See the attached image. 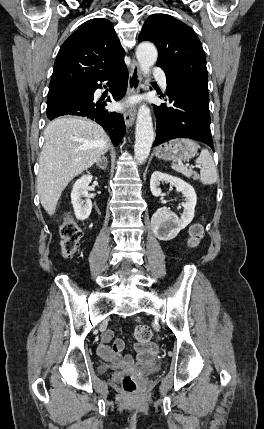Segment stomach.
<instances>
[{
    "instance_id": "1",
    "label": "stomach",
    "mask_w": 264,
    "mask_h": 429,
    "mask_svg": "<svg viewBox=\"0 0 264 429\" xmlns=\"http://www.w3.org/2000/svg\"><path fill=\"white\" fill-rule=\"evenodd\" d=\"M198 148V144L191 139L177 138L157 147L155 155L168 161L189 160L197 154Z\"/></svg>"
}]
</instances>
